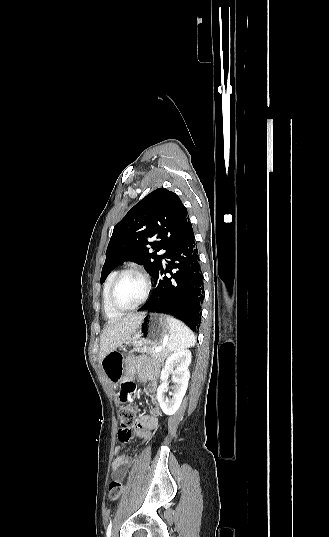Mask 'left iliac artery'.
<instances>
[{
  "instance_id": "obj_1",
  "label": "left iliac artery",
  "mask_w": 329,
  "mask_h": 537,
  "mask_svg": "<svg viewBox=\"0 0 329 537\" xmlns=\"http://www.w3.org/2000/svg\"><path fill=\"white\" fill-rule=\"evenodd\" d=\"M111 532H112V521H110V523L108 525L107 532H106V537H110Z\"/></svg>"
}]
</instances>
